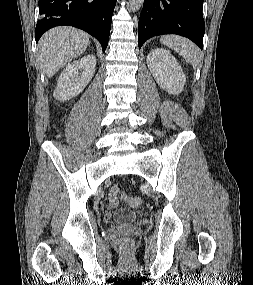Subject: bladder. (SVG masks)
<instances>
[{
  "mask_svg": "<svg viewBox=\"0 0 253 285\" xmlns=\"http://www.w3.org/2000/svg\"><path fill=\"white\" fill-rule=\"evenodd\" d=\"M138 218L137 213L130 209L120 208L113 212L111 220L117 224L132 223Z\"/></svg>",
  "mask_w": 253,
  "mask_h": 285,
  "instance_id": "bladder-1",
  "label": "bladder"
}]
</instances>
